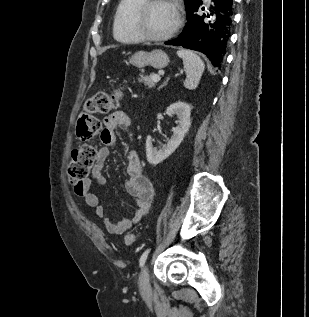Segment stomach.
Instances as JSON below:
<instances>
[{
	"label": "stomach",
	"mask_w": 309,
	"mask_h": 317,
	"mask_svg": "<svg viewBox=\"0 0 309 317\" xmlns=\"http://www.w3.org/2000/svg\"><path fill=\"white\" fill-rule=\"evenodd\" d=\"M129 62L138 68L152 66L156 69H161L168 65L169 57L162 50L138 51L130 57Z\"/></svg>",
	"instance_id": "obj_1"
}]
</instances>
